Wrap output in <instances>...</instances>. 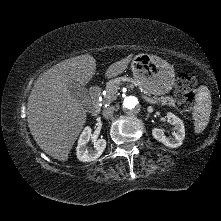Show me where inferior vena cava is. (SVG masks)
Masks as SVG:
<instances>
[{
	"instance_id": "602c4592",
	"label": "inferior vena cava",
	"mask_w": 221,
	"mask_h": 221,
	"mask_svg": "<svg viewBox=\"0 0 221 221\" xmlns=\"http://www.w3.org/2000/svg\"><path fill=\"white\" fill-rule=\"evenodd\" d=\"M114 111H115V107H114V106H109V107H107V108H105V109L103 110L102 114H103V116H104L105 118L108 119V118H110V117L113 116Z\"/></svg>"
}]
</instances>
